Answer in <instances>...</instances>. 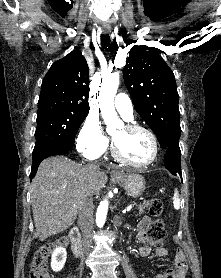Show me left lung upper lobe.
Returning <instances> with one entry per match:
<instances>
[{
  "label": "left lung upper lobe",
  "mask_w": 221,
  "mask_h": 278,
  "mask_svg": "<svg viewBox=\"0 0 221 278\" xmlns=\"http://www.w3.org/2000/svg\"><path fill=\"white\" fill-rule=\"evenodd\" d=\"M123 77L134 108L155 133L160 145L165 149L179 147L178 92L174 74L163 58L134 46L123 68Z\"/></svg>",
  "instance_id": "left-lung-upper-lobe-1"
}]
</instances>
